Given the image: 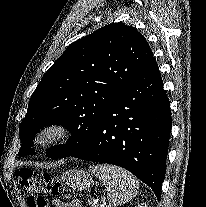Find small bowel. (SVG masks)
<instances>
[{
  "label": "small bowel",
  "instance_id": "1",
  "mask_svg": "<svg viewBox=\"0 0 206 207\" xmlns=\"http://www.w3.org/2000/svg\"><path fill=\"white\" fill-rule=\"evenodd\" d=\"M54 207H79L76 202H66L61 199L54 200Z\"/></svg>",
  "mask_w": 206,
  "mask_h": 207
}]
</instances>
